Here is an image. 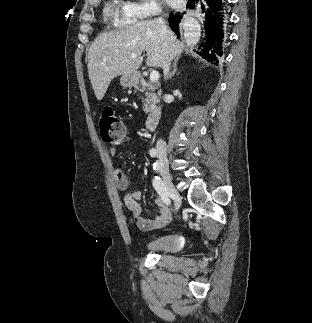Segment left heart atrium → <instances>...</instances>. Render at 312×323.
<instances>
[{
  "instance_id": "left-heart-atrium-1",
  "label": "left heart atrium",
  "mask_w": 312,
  "mask_h": 323,
  "mask_svg": "<svg viewBox=\"0 0 312 323\" xmlns=\"http://www.w3.org/2000/svg\"><path fill=\"white\" fill-rule=\"evenodd\" d=\"M167 4H178L179 0H166Z\"/></svg>"
}]
</instances>
